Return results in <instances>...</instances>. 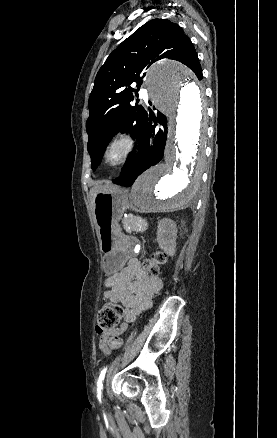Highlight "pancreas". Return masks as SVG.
I'll return each instance as SVG.
<instances>
[{"label": "pancreas", "mask_w": 277, "mask_h": 438, "mask_svg": "<svg viewBox=\"0 0 277 438\" xmlns=\"http://www.w3.org/2000/svg\"><path fill=\"white\" fill-rule=\"evenodd\" d=\"M148 223V219L141 218L139 214H129L128 218L124 219V229L128 233H146Z\"/></svg>", "instance_id": "pancreas-1"}]
</instances>
